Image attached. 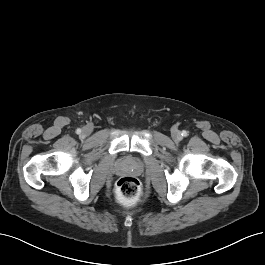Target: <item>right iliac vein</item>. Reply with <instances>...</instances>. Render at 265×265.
Masks as SVG:
<instances>
[{
  "instance_id": "63e3f726",
  "label": "right iliac vein",
  "mask_w": 265,
  "mask_h": 265,
  "mask_svg": "<svg viewBox=\"0 0 265 265\" xmlns=\"http://www.w3.org/2000/svg\"><path fill=\"white\" fill-rule=\"evenodd\" d=\"M92 132V127L91 126H85V127H83V129H82V134L83 135H89L90 133Z\"/></svg>"
}]
</instances>
